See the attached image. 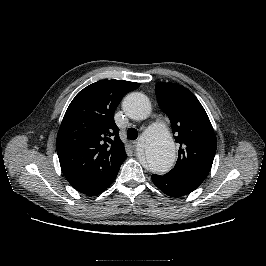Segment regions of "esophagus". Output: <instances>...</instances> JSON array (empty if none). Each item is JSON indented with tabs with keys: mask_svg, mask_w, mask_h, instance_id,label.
<instances>
[{
	"mask_svg": "<svg viewBox=\"0 0 266 266\" xmlns=\"http://www.w3.org/2000/svg\"><path fill=\"white\" fill-rule=\"evenodd\" d=\"M136 146H137V141H131V142H130V147H131L132 149H134Z\"/></svg>",
	"mask_w": 266,
	"mask_h": 266,
	"instance_id": "1",
	"label": "esophagus"
}]
</instances>
